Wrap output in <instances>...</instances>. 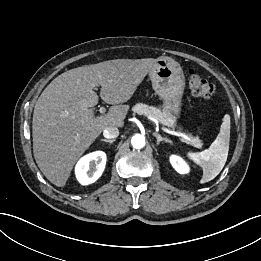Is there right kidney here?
<instances>
[{
    "instance_id": "ca27d5eb",
    "label": "right kidney",
    "mask_w": 261,
    "mask_h": 261,
    "mask_svg": "<svg viewBox=\"0 0 261 261\" xmlns=\"http://www.w3.org/2000/svg\"><path fill=\"white\" fill-rule=\"evenodd\" d=\"M106 154L96 151L82 157L76 164L75 175L82 185L94 183L103 173Z\"/></svg>"
}]
</instances>
